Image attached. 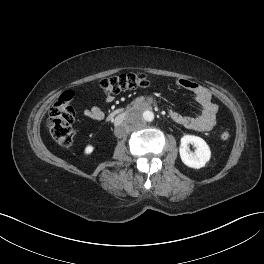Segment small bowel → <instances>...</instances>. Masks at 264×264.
Wrapping results in <instances>:
<instances>
[{
  "label": "small bowel",
  "instance_id": "1",
  "mask_svg": "<svg viewBox=\"0 0 264 264\" xmlns=\"http://www.w3.org/2000/svg\"><path fill=\"white\" fill-rule=\"evenodd\" d=\"M177 83L180 87L191 91L198 103L199 109L196 116H186L179 112L170 110V118L178 125L197 132H207L213 128L216 121V114L218 107L212 101V96L208 90H206L200 84L188 80L178 79ZM114 100L113 95L105 96V103H111ZM84 115L92 120L101 121L104 119L105 112L100 106H93L84 110Z\"/></svg>",
  "mask_w": 264,
  "mask_h": 264
}]
</instances>
